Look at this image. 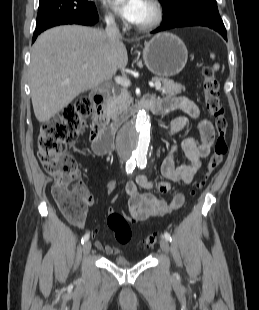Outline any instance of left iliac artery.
<instances>
[{
    "instance_id": "left-iliac-artery-1",
    "label": "left iliac artery",
    "mask_w": 259,
    "mask_h": 310,
    "mask_svg": "<svg viewBox=\"0 0 259 310\" xmlns=\"http://www.w3.org/2000/svg\"><path fill=\"white\" fill-rule=\"evenodd\" d=\"M137 165H138V167H140L141 169H143V168H145L146 163L143 162V161H139V162H137ZM164 237H165L166 240H168V241H170V242L172 241L171 235H170L168 232H165V233H164Z\"/></svg>"
}]
</instances>
